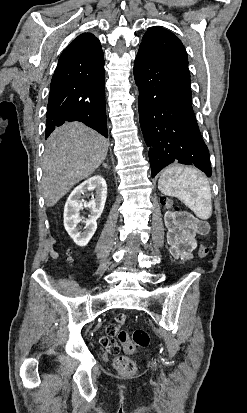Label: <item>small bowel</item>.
Instances as JSON below:
<instances>
[{
	"instance_id": "1",
	"label": "small bowel",
	"mask_w": 247,
	"mask_h": 413,
	"mask_svg": "<svg viewBox=\"0 0 247 413\" xmlns=\"http://www.w3.org/2000/svg\"><path fill=\"white\" fill-rule=\"evenodd\" d=\"M165 225L168 229L167 241L170 253L183 263L191 258V253L197 246L196 235H205L209 231V226L205 221L194 217L187 223L177 224L175 214L172 212L166 213ZM125 316L117 315L115 322H108L105 334L100 336L101 347L103 349H110L112 355L119 353V348L112 346L111 341L116 335L115 331H119L122 328L121 324H126L124 321Z\"/></svg>"
}]
</instances>
